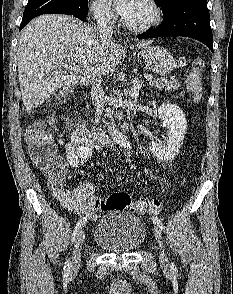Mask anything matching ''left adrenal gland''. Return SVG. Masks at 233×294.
Returning a JSON list of instances; mask_svg holds the SVG:
<instances>
[{"label":"left adrenal gland","mask_w":233,"mask_h":294,"mask_svg":"<svg viewBox=\"0 0 233 294\" xmlns=\"http://www.w3.org/2000/svg\"><path fill=\"white\" fill-rule=\"evenodd\" d=\"M132 87L129 91V95L132 99L137 100L139 95V90L144 86L143 82L139 80L137 77L132 80Z\"/></svg>","instance_id":"obj_1"}]
</instances>
